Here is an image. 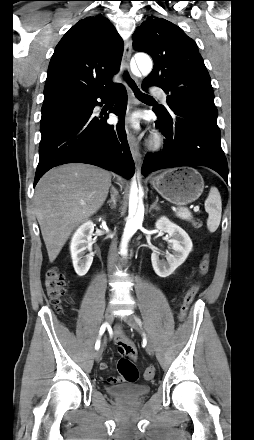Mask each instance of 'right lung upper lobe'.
<instances>
[{
    "label": "right lung upper lobe",
    "instance_id": "obj_1",
    "mask_svg": "<svg viewBox=\"0 0 254 440\" xmlns=\"http://www.w3.org/2000/svg\"><path fill=\"white\" fill-rule=\"evenodd\" d=\"M122 54V39L107 18L80 20L55 48L48 67L45 99L79 91L110 92Z\"/></svg>",
    "mask_w": 254,
    "mask_h": 440
}]
</instances>
